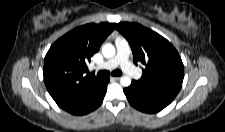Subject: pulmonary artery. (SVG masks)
<instances>
[{"label": "pulmonary artery", "instance_id": "1", "mask_svg": "<svg viewBox=\"0 0 225 132\" xmlns=\"http://www.w3.org/2000/svg\"><path fill=\"white\" fill-rule=\"evenodd\" d=\"M117 49L116 55L102 63L99 68L101 69H113L117 66H121L122 69L132 76H137V72L133 65L129 62L130 46L128 41L123 37H118L115 40Z\"/></svg>", "mask_w": 225, "mask_h": 132}]
</instances>
